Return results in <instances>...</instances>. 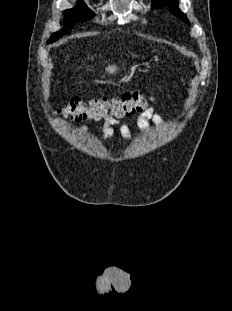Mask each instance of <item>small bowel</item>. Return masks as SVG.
Masks as SVG:
<instances>
[{
	"instance_id": "c3829d8e",
	"label": "small bowel",
	"mask_w": 232,
	"mask_h": 311,
	"mask_svg": "<svg viewBox=\"0 0 232 311\" xmlns=\"http://www.w3.org/2000/svg\"><path fill=\"white\" fill-rule=\"evenodd\" d=\"M165 119L162 115L153 107L144 110L137 118L136 125L140 133L144 136H149L150 126L153 125L158 129L165 127ZM118 125L120 135L127 140L130 137V129L128 125L119 123L117 120L106 121L103 124L102 132L105 141H108L113 134V126ZM90 130V127L86 124L80 125L76 128L77 132L85 133Z\"/></svg>"
}]
</instances>
